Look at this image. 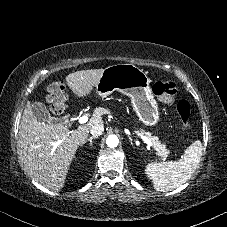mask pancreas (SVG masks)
<instances>
[{"mask_svg": "<svg viewBox=\"0 0 227 227\" xmlns=\"http://www.w3.org/2000/svg\"><path fill=\"white\" fill-rule=\"evenodd\" d=\"M141 134H145L153 143V148L156 151V154L162 158L165 159L168 155L166 145L162 144L160 141H158V138L155 136H152L151 133L145 132L143 129L140 130Z\"/></svg>", "mask_w": 227, "mask_h": 227, "instance_id": "1", "label": "pancreas"}]
</instances>
